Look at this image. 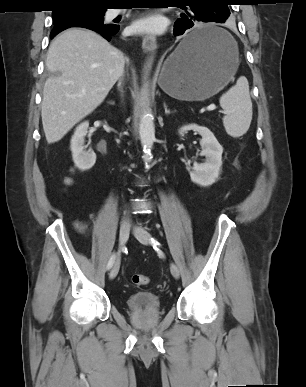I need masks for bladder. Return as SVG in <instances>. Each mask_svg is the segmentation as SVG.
<instances>
[{
	"instance_id": "31cf9c89",
	"label": "bladder",
	"mask_w": 306,
	"mask_h": 387,
	"mask_svg": "<svg viewBox=\"0 0 306 387\" xmlns=\"http://www.w3.org/2000/svg\"><path fill=\"white\" fill-rule=\"evenodd\" d=\"M126 306L134 313H158L162 309L161 301L157 295L149 291H137L126 299Z\"/></svg>"
}]
</instances>
